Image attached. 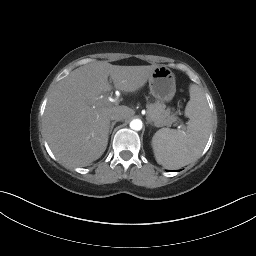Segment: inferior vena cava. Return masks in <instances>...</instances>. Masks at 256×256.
Listing matches in <instances>:
<instances>
[{"label": "inferior vena cava", "instance_id": "1", "mask_svg": "<svg viewBox=\"0 0 256 256\" xmlns=\"http://www.w3.org/2000/svg\"><path fill=\"white\" fill-rule=\"evenodd\" d=\"M110 119L115 121H121L123 120V116L119 112L115 111L110 115Z\"/></svg>", "mask_w": 256, "mask_h": 256}]
</instances>
